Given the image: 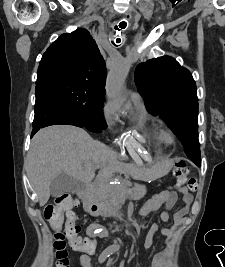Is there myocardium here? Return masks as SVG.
I'll return each instance as SVG.
<instances>
[{
  "instance_id": "1",
  "label": "myocardium",
  "mask_w": 225,
  "mask_h": 267,
  "mask_svg": "<svg viewBox=\"0 0 225 267\" xmlns=\"http://www.w3.org/2000/svg\"><path fill=\"white\" fill-rule=\"evenodd\" d=\"M160 137L165 144L172 145L175 143V134L169 127L160 130Z\"/></svg>"
}]
</instances>
